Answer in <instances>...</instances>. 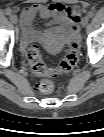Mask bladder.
<instances>
[{"label": "bladder", "instance_id": "31cf9c89", "mask_svg": "<svg viewBox=\"0 0 104 137\" xmlns=\"http://www.w3.org/2000/svg\"><path fill=\"white\" fill-rule=\"evenodd\" d=\"M66 45L67 42L57 35L49 37L42 41L44 50L51 55L60 53Z\"/></svg>", "mask_w": 104, "mask_h": 137}]
</instances>
